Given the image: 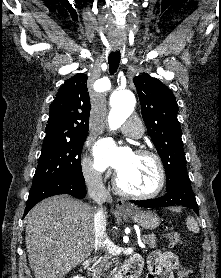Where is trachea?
I'll return each instance as SVG.
<instances>
[{"instance_id": "3493384b", "label": "trachea", "mask_w": 221, "mask_h": 278, "mask_svg": "<svg viewBox=\"0 0 221 278\" xmlns=\"http://www.w3.org/2000/svg\"><path fill=\"white\" fill-rule=\"evenodd\" d=\"M120 51L116 50L113 51L109 54L108 57V64H109V73L111 75H114L119 67V63H120Z\"/></svg>"}]
</instances>
